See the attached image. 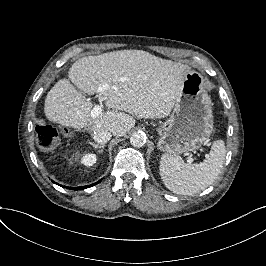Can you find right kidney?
<instances>
[{"mask_svg": "<svg viewBox=\"0 0 266 266\" xmlns=\"http://www.w3.org/2000/svg\"><path fill=\"white\" fill-rule=\"evenodd\" d=\"M97 158H96V154H92V153H88V154H84L81 157V164L85 165V166H92L96 163Z\"/></svg>", "mask_w": 266, "mask_h": 266, "instance_id": "ca27d5eb", "label": "right kidney"}]
</instances>
